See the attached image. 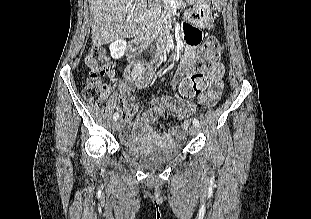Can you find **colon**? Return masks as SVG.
Returning a JSON list of instances; mask_svg holds the SVG:
<instances>
[{"label": "colon", "instance_id": "5ec220e1", "mask_svg": "<svg viewBox=\"0 0 311 219\" xmlns=\"http://www.w3.org/2000/svg\"><path fill=\"white\" fill-rule=\"evenodd\" d=\"M184 31L191 42L198 43L201 33L197 28L190 25L184 26ZM221 56V44L215 37H209L199 50V55L194 63L195 74L185 79L181 87L184 95H194L203 91L207 86L204 72L217 70L221 72L219 64ZM87 75L83 83L84 98L95 105L104 103L109 95V86L101 80V77L112 76L115 66L108 58L105 50L101 47H93L85 58Z\"/></svg>", "mask_w": 311, "mask_h": 219}]
</instances>
